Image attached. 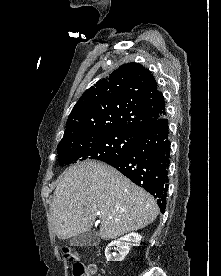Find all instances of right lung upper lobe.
Segmentation results:
<instances>
[{
  "label": "right lung upper lobe",
  "mask_w": 221,
  "mask_h": 276,
  "mask_svg": "<svg viewBox=\"0 0 221 276\" xmlns=\"http://www.w3.org/2000/svg\"><path fill=\"white\" fill-rule=\"evenodd\" d=\"M165 113L163 95L150 71L138 63L124 64L82 94L61 142L109 132L137 137Z\"/></svg>",
  "instance_id": "obj_1"
}]
</instances>
